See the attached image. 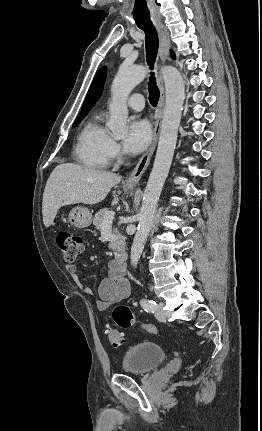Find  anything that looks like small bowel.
I'll list each match as a JSON object with an SVG mask.
<instances>
[{
    "mask_svg": "<svg viewBox=\"0 0 262 431\" xmlns=\"http://www.w3.org/2000/svg\"><path fill=\"white\" fill-rule=\"evenodd\" d=\"M66 270L72 277L80 292L85 295H92V290L86 286L78 276L77 268L74 264L66 265ZM127 266L118 258L112 259L108 263V275L100 283L98 288V299L96 306L103 311L111 305L126 299L130 294V285L126 279Z\"/></svg>",
    "mask_w": 262,
    "mask_h": 431,
    "instance_id": "c3829d8e",
    "label": "small bowel"
}]
</instances>
